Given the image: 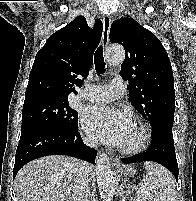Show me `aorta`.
Wrapping results in <instances>:
<instances>
[{
    "mask_svg": "<svg viewBox=\"0 0 196 201\" xmlns=\"http://www.w3.org/2000/svg\"><path fill=\"white\" fill-rule=\"evenodd\" d=\"M125 51L119 45L110 46L105 53L108 64L119 65L124 61ZM97 184L102 201H113L115 181L109 157L99 153L96 157Z\"/></svg>",
    "mask_w": 196,
    "mask_h": 201,
    "instance_id": "aorta-1",
    "label": "aorta"
}]
</instances>
